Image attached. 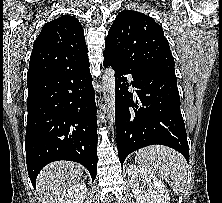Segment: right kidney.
Returning <instances> with one entry per match:
<instances>
[{
  "label": "right kidney",
  "instance_id": "ca27d5eb",
  "mask_svg": "<svg viewBox=\"0 0 222 203\" xmlns=\"http://www.w3.org/2000/svg\"><path fill=\"white\" fill-rule=\"evenodd\" d=\"M86 184L77 183L70 187L60 198L59 203H84L86 198Z\"/></svg>",
  "mask_w": 222,
  "mask_h": 203
}]
</instances>
